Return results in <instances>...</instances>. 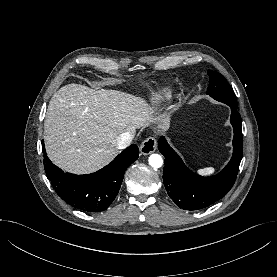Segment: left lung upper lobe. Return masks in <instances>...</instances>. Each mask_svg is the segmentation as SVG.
Returning a JSON list of instances; mask_svg holds the SVG:
<instances>
[{
    "mask_svg": "<svg viewBox=\"0 0 277 277\" xmlns=\"http://www.w3.org/2000/svg\"><path fill=\"white\" fill-rule=\"evenodd\" d=\"M208 75L210 77V81L207 94L217 101L237 108L235 94L226 79L220 73L213 72L211 70H208Z\"/></svg>",
    "mask_w": 277,
    "mask_h": 277,
    "instance_id": "5c2ea615",
    "label": "left lung upper lobe"
}]
</instances>
